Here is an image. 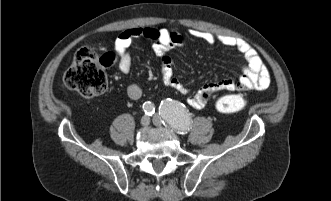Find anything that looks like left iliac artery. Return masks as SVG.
I'll list each match as a JSON object with an SVG mask.
<instances>
[{"instance_id": "1", "label": "left iliac artery", "mask_w": 331, "mask_h": 201, "mask_svg": "<svg viewBox=\"0 0 331 201\" xmlns=\"http://www.w3.org/2000/svg\"><path fill=\"white\" fill-rule=\"evenodd\" d=\"M159 114L164 119V124L173 128L179 134H186L191 129L192 119L185 105L172 99L161 102Z\"/></svg>"}]
</instances>
